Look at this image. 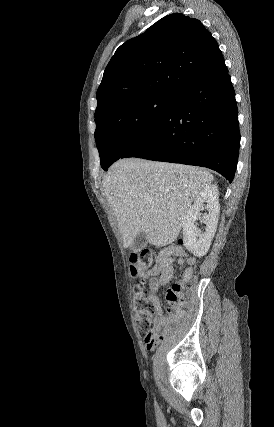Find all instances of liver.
I'll list each match as a JSON object with an SVG mask.
<instances>
[{
    "instance_id": "6515ba94",
    "label": "liver",
    "mask_w": 274,
    "mask_h": 427,
    "mask_svg": "<svg viewBox=\"0 0 274 427\" xmlns=\"http://www.w3.org/2000/svg\"><path fill=\"white\" fill-rule=\"evenodd\" d=\"M211 182L213 176L205 168L125 158L109 168L102 188L124 247L141 231L149 243L161 247L175 241L194 198Z\"/></svg>"
}]
</instances>
